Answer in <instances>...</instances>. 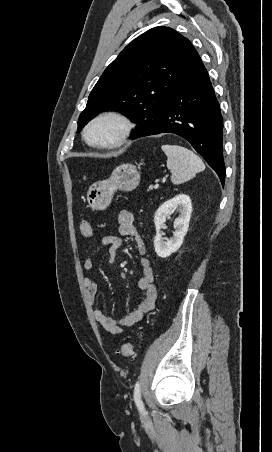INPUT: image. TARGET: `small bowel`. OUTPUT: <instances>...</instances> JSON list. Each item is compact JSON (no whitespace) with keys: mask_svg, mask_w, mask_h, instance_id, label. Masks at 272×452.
Segmentation results:
<instances>
[{"mask_svg":"<svg viewBox=\"0 0 272 452\" xmlns=\"http://www.w3.org/2000/svg\"><path fill=\"white\" fill-rule=\"evenodd\" d=\"M119 234L122 236H131L134 238L137 253L139 254V263L141 266V276L138 279L137 286L144 292L143 299L135 308L127 312L122 318L116 320L110 317L104 310L95 309L94 317L97 323L108 333L120 334L124 330L134 326L142 317L154 309L157 301V288L153 283L154 274L149 260L145 257L146 245L137 232L134 225V215L128 210H122L118 215ZM122 240L119 236L107 235L102 238V245L107 249V258L113 262L117 256ZM93 259L86 258L82 267L84 270H90L93 267ZM87 298L91 305H95L98 294V284L91 278L84 279Z\"/></svg>","mask_w":272,"mask_h":452,"instance_id":"1","label":"small bowel"}]
</instances>
